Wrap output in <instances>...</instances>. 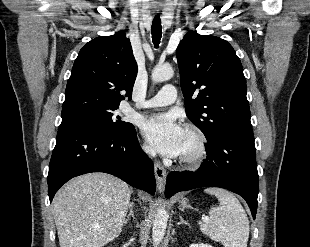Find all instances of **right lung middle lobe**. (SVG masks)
<instances>
[{
	"mask_svg": "<svg viewBox=\"0 0 310 247\" xmlns=\"http://www.w3.org/2000/svg\"><path fill=\"white\" fill-rule=\"evenodd\" d=\"M118 108H99L93 106H76L66 110H62V122L61 126L67 125H96L101 127L110 128L115 132H122L133 125L128 122L120 121V117L117 116L118 120L114 119L113 111Z\"/></svg>",
	"mask_w": 310,
	"mask_h": 247,
	"instance_id": "1",
	"label": "right lung middle lobe"
}]
</instances>
